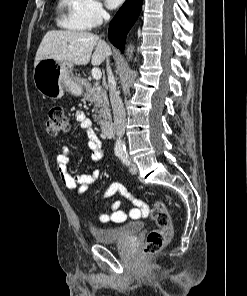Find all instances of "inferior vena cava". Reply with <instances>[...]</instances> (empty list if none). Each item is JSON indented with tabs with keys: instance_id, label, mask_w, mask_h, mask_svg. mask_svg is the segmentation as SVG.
<instances>
[{
	"instance_id": "inferior-vena-cava-1",
	"label": "inferior vena cava",
	"mask_w": 247,
	"mask_h": 296,
	"mask_svg": "<svg viewBox=\"0 0 247 296\" xmlns=\"http://www.w3.org/2000/svg\"><path fill=\"white\" fill-rule=\"evenodd\" d=\"M103 18L107 21L110 15L106 11H102ZM107 74H108V86H109V96L110 102L114 115V124L116 128V135L121 139L125 133L126 119H125V108L123 102L116 90V82L112 70L109 66V60L107 59Z\"/></svg>"
}]
</instances>
